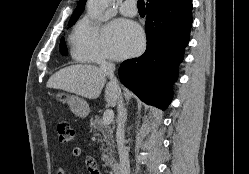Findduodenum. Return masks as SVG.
<instances>
[{
	"mask_svg": "<svg viewBox=\"0 0 249 174\" xmlns=\"http://www.w3.org/2000/svg\"><path fill=\"white\" fill-rule=\"evenodd\" d=\"M111 169L113 174H121V166L118 163H114L111 165Z\"/></svg>",
	"mask_w": 249,
	"mask_h": 174,
	"instance_id": "410a0bca",
	"label": "duodenum"
}]
</instances>
